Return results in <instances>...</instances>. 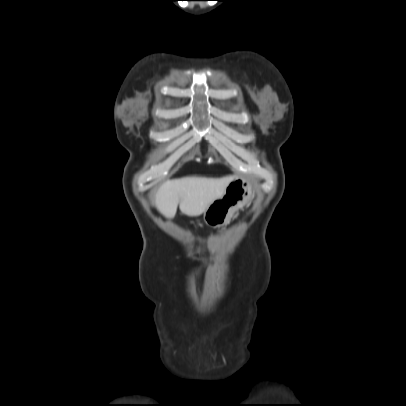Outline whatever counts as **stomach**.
Returning <instances> with one entry per match:
<instances>
[{
    "mask_svg": "<svg viewBox=\"0 0 406 406\" xmlns=\"http://www.w3.org/2000/svg\"><path fill=\"white\" fill-rule=\"evenodd\" d=\"M253 197V185L242 177H235L223 196L213 201L203 213L208 226L219 228L227 225L235 212L243 208Z\"/></svg>",
    "mask_w": 406,
    "mask_h": 406,
    "instance_id": "obj_1",
    "label": "stomach"
}]
</instances>
